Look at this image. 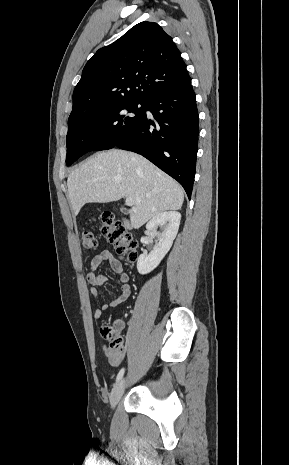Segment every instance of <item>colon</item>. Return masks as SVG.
Here are the masks:
<instances>
[{"mask_svg": "<svg viewBox=\"0 0 289 465\" xmlns=\"http://www.w3.org/2000/svg\"><path fill=\"white\" fill-rule=\"evenodd\" d=\"M100 229L108 241L114 245L117 252L129 263H132L136 258V242L132 236L126 231L124 226L115 220L110 212H104L98 219ZM80 242L84 250H93L97 246V240L88 227H84L80 231ZM103 338L110 341V349L114 357H118L124 348L122 338L117 335L115 325L105 323L100 329Z\"/></svg>", "mask_w": 289, "mask_h": 465, "instance_id": "5ec220e1", "label": "colon"}]
</instances>
